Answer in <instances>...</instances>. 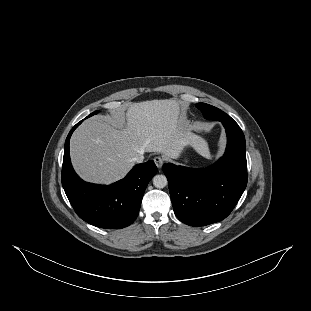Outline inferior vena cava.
<instances>
[{"mask_svg": "<svg viewBox=\"0 0 311 311\" xmlns=\"http://www.w3.org/2000/svg\"><path fill=\"white\" fill-rule=\"evenodd\" d=\"M144 160L143 154H138L136 157L132 158V161L135 163H142Z\"/></svg>", "mask_w": 311, "mask_h": 311, "instance_id": "602c4592", "label": "inferior vena cava"}]
</instances>
